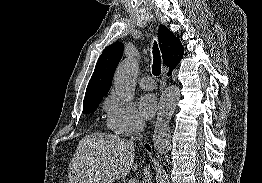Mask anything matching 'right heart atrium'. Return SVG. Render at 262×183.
Wrapping results in <instances>:
<instances>
[{"mask_svg":"<svg viewBox=\"0 0 262 183\" xmlns=\"http://www.w3.org/2000/svg\"><path fill=\"white\" fill-rule=\"evenodd\" d=\"M107 126L120 136H132L144 128V120L134 104L119 99L114 93L105 101Z\"/></svg>","mask_w":262,"mask_h":183,"instance_id":"obj_1","label":"right heart atrium"}]
</instances>
